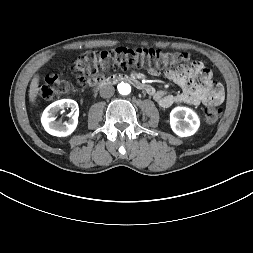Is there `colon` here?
<instances>
[{"label":"colon","mask_w":253,"mask_h":253,"mask_svg":"<svg viewBox=\"0 0 253 253\" xmlns=\"http://www.w3.org/2000/svg\"><path fill=\"white\" fill-rule=\"evenodd\" d=\"M187 60L185 52H168L154 49H131L119 47L111 50L89 51L78 55L70 64L76 73L78 84H100L110 68L127 69L130 67H153L162 69L168 64H178ZM74 85L55 75H47L38 87L41 98L51 100L69 93ZM221 112L213 104L204 107V116L208 124H216Z\"/></svg>","instance_id":"colon-1"}]
</instances>
